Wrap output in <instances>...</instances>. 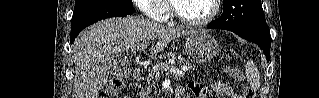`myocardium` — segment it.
<instances>
[{
	"label": "myocardium",
	"mask_w": 319,
	"mask_h": 98,
	"mask_svg": "<svg viewBox=\"0 0 319 98\" xmlns=\"http://www.w3.org/2000/svg\"><path fill=\"white\" fill-rule=\"evenodd\" d=\"M212 1V11L204 18L199 20H190L185 17H183L174 2L172 1V14L173 16L183 25L190 27V28H199L208 25L211 23L219 14L220 8H221V2L220 0H211Z\"/></svg>",
	"instance_id": "obj_1"
}]
</instances>
